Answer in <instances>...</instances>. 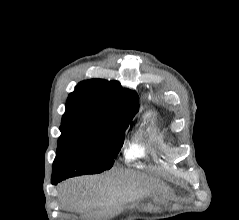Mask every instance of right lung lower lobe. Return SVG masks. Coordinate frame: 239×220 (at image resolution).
<instances>
[{"mask_svg":"<svg viewBox=\"0 0 239 220\" xmlns=\"http://www.w3.org/2000/svg\"><path fill=\"white\" fill-rule=\"evenodd\" d=\"M59 182H60V181H57V180L55 181V180H52V179H51V183L54 184V185H56V184L59 183Z\"/></svg>","mask_w":239,"mask_h":220,"instance_id":"98d812e1","label":"right lung lower lobe"}]
</instances>
